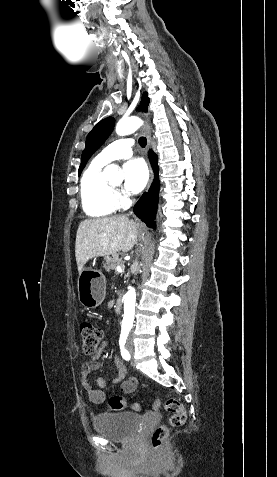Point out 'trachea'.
<instances>
[{"label":"trachea","instance_id":"1","mask_svg":"<svg viewBox=\"0 0 277 477\" xmlns=\"http://www.w3.org/2000/svg\"><path fill=\"white\" fill-rule=\"evenodd\" d=\"M146 143H147V140H146L145 137H140L139 138V144H140L141 147L144 148L146 146Z\"/></svg>","mask_w":277,"mask_h":477}]
</instances>
